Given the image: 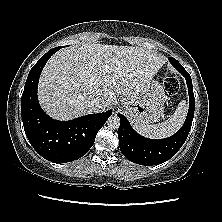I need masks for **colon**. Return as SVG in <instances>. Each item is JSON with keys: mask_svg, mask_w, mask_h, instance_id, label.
Masks as SVG:
<instances>
[{"mask_svg": "<svg viewBox=\"0 0 222 222\" xmlns=\"http://www.w3.org/2000/svg\"><path fill=\"white\" fill-rule=\"evenodd\" d=\"M164 87L169 95H175L180 90V81L173 73H167L164 77Z\"/></svg>", "mask_w": 222, "mask_h": 222, "instance_id": "5ec220e1", "label": "colon"}]
</instances>
